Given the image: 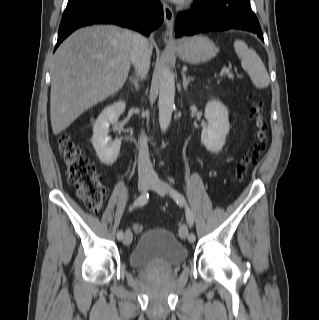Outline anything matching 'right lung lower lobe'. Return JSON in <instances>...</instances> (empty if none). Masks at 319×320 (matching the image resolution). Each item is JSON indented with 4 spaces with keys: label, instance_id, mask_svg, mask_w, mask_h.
Wrapping results in <instances>:
<instances>
[{
    "label": "right lung lower lobe",
    "instance_id": "obj_1",
    "mask_svg": "<svg viewBox=\"0 0 319 320\" xmlns=\"http://www.w3.org/2000/svg\"><path fill=\"white\" fill-rule=\"evenodd\" d=\"M163 19L159 0H81L66 7L55 49L71 32L86 25L116 24L149 36Z\"/></svg>",
    "mask_w": 319,
    "mask_h": 320
}]
</instances>
